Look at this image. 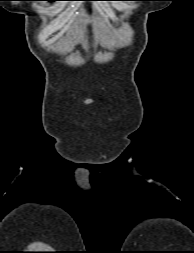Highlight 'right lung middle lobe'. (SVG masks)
<instances>
[{"mask_svg": "<svg viewBox=\"0 0 194 253\" xmlns=\"http://www.w3.org/2000/svg\"><path fill=\"white\" fill-rule=\"evenodd\" d=\"M42 1H62V0H42Z\"/></svg>", "mask_w": 194, "mask_h": 253, "instance_id": "obj_1", "label": "right lung middle lobe"}]
</instances>
